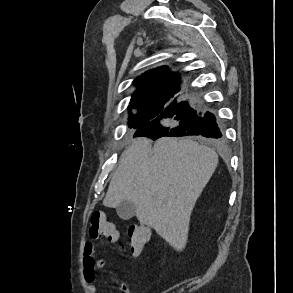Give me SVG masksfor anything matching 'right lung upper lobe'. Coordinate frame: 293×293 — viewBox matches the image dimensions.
Returning <instances> with one entry per match:
<instances>
[{
    "label": "right lung upper lobe",
    "mask_w": 293,
    "mask_h": 293,
    "mask_svg": "<svg viewBox=\"0 0 293 293\" xmlns=\"http://www.w3.org/2000/svg\"><path fill=\"white\" fill-rule=\"evenodd\" d=\"M138 86L130 101V108L148 107L159 116L180 92V76L166 66L157 67L135 79ZM171 102V103H170ZM155 117V118H156Z\"/></svg>",
    "instance_id": "1"
}]
</instances>
